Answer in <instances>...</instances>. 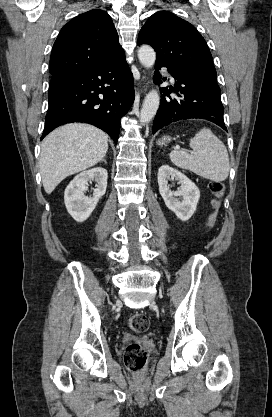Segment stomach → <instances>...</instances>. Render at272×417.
Listing matches in <instances>:
<instances>
[{"instance_id":"obj_1","label":"stomach","mask_w":272,"mask_h":417,"mask_svg":"<svg viewBox=\"0 0 272 417\" xmlns=\"http://www.w3.org/2000/svg\"><path fill=\"white\" fill-rule=\"evenodd\" d=\"M170 141H171V138L169 136H164L161 139H159L157 143L159 145H162V144L168 143Z\"/></svg>"}]
</instances>
